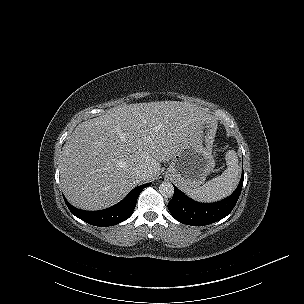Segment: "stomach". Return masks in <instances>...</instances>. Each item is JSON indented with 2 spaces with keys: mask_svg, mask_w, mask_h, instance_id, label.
<instances>
[{
  "mask_svg": "<svg viewBox=\"0 0 304 304\" xmlns=\"http://www.w3.org/2000/svg\"><path fill=\"white\" fill-rule=\"evenodd\" d=\"M208 133L201 127L173 158L166 173L183 189L199 188L215 166Z\"/></svg>",
  "mask_w": 304,
  "mask_h": 304,
  "instance_id": "obj_1",
  "label": "stomach"
}]
</instances>
